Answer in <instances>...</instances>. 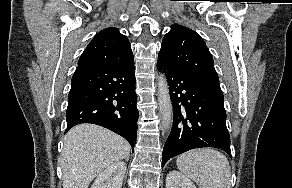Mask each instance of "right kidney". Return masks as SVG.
Instances as JSON below:
<instances>
[{
    "label": "right kidney",
    "instance_id": "right-kidney-1",
    "mask_svg": "<svg viewBox=\"0 0 292 188\" xmlns=\"http://www.w3.org/2000/svg\"><path fill=\"white\" fill-rule=\"evenodd\" d=\"M125 171V162L113 163L97 176L91 188H121Z\"/></svg>",
    "mask_w": 292,
    "mask_h": 188
}]
</instances>
